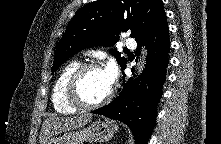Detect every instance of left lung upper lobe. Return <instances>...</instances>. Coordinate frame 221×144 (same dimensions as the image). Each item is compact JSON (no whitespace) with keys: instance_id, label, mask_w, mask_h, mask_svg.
I'll list each match as a JSON object with an SVG mask.
<instances>
[{"instance_id":"1","label":"left lung upper lobe","mask_w":221,"mask_h":144,"mask_svg":"<svg viewBox=\"0 0 221 144\" xmlns=\"http://www.w3.org/2000/svg\"><path fill=\"white\" fill-rule=\"evenodd\" d=\"M165 14L162 0H98L79 9L59 41L52 73L68 58L95 45L110 47L120 32L131 31L139 41L149 35ZM121 68L127 59L111 50Z\"/></svg>"}]
</instances>
